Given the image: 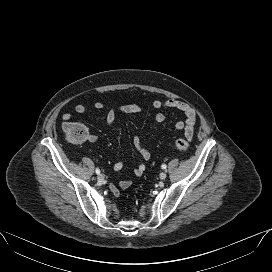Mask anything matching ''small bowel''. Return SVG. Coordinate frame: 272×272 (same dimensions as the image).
I'll use <instances>...</instances> for the list:
<instances>
[{
    "instance_id": "small-bowel-1",
    "label": "small bowel",
    "mask_w": 272,
    "mask_h": 272,
    "mask_svg": "<svg viewBox=\"0 0 272 272\" xmlns=\"http://www.w3.org/2000/svg\"><path fill=\"white\" fill-rule=\"evenodd\" d=\"M152 106L159 110V109H174L178 111L180 114H182L186 119L185 121H178L175 123V129L179 132H183L184 135H187V132H190V140L194 137V127L197 120V114L194 108L189 106L188 104L176 100V99H170V100H161L156 99L153 101ZM94 108L97 110H101L104 108V104L100 101H96L94 103ZM75 112L79 114H83L86 111V107L83 104H77L75 106ZM141 111V108L139 105L136 104H123L119 105L117 107H113L109 109V111L106 114V124L112 125L118 113H124V114H137ZM72 118V114L69 112H66L62 115L63 121L66 123ZM165 121V115L162 113L156 114L154 118V129L156 130L160 124H162ZM88 141L91 143H94L97 141V136L95 134H90L88 137ZM133 143L135 146V149L137 153L140 155V157L143 160L148 161L151 158V153L149 150L144 146L143 141L140 137H134ZM123 168V162L118 161L113 165V170L118 172ZM145 171V165L143 163H140L137 165V167L133 170V174L137 177H140ZM119 188L121 189H127L131 186L130 180H121L118 183ZM112 193L114 196H119V189L111 185L110 186Z\"/></svg>"
}]
</instances>
